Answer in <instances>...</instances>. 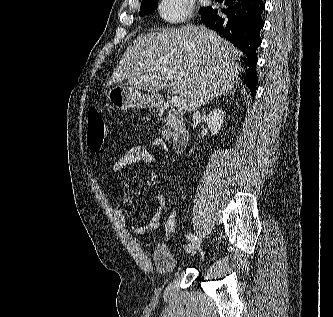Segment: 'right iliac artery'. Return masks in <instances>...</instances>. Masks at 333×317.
<instances>
[{"label": "right iliac artery", "instance_id": "obj_1", "mask_svg": "<svg viewBox=\"0 0 333 317\" xmlns=\"http://www.w3.org/2000/svg\"><path fill=\"white\" fill-rule=\"evenodd\" d=\"M186 238L188 239V240H195V239H197V237L195 236V234H188V235H186Z\"/></svg>", "mask_w": 333, "mask_h": 317}]
</instances>
